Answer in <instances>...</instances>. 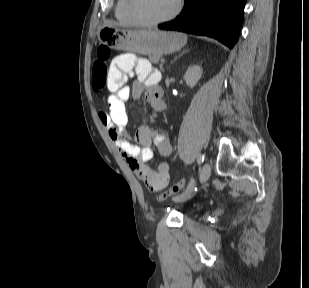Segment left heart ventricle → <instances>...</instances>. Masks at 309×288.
<instances>
[{"label": "left heart ventricle", "mask_w": 309, "mask_h": 288, "mask_svg": "<svg viewBox=\"0 0 309 288\" xmlns=\"http://www.w3.org/2000/svg\"><path fill=\"white\" fill-rule=\"evenodd\" d=\"M177 0H134L136 14L144 20H156L168 15Z\"/></svg>", "instance_id": "1"}]
</instances>
